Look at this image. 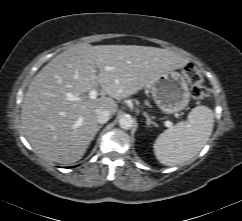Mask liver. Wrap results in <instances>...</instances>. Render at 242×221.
Masks as SVG:
<instances>
[{"label": "liver", "mask_w": 242, "mask_h": 221, "mask_svg": "<svg viewBox=\"0 0 242 221\" xmlns=\"http://www.w3.org/2000/svg\"><path fill=\"white\" fill-rule=\"evenodd\" d=\"M187 63L168 49L75 44L46 64L28 86L21 111L23 132L42 158L75 163L97 133L98 109L114 114V99L128 98L156 76ZM99 86L102 96L90 99L87 93Z\"/></svg>", "instance_id": "obj_1"}]
</instances>
